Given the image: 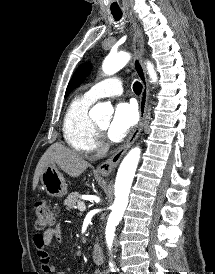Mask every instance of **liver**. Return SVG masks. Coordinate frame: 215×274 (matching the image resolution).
I'll use <instances>...</instances> for the list:
<instances>
[{
  "mask_svg": "<svg viewBox=\"0 0 215 274\" xmlns=\"http://www.w3.org/2000/svg\"><path fill=\"white\" fill-rule=\"evenodd\" d=\"M55 163L71 177H79L90 165L76 152L59 143H55L46 150L36 166L33 178L34 190L37 187L42 172L48 165Z\"/></svg>",
  "mask_w": 215,
  "mask_h": 274,
  "instance_id": "1",
  "label": "liver"
}]
</instances>
